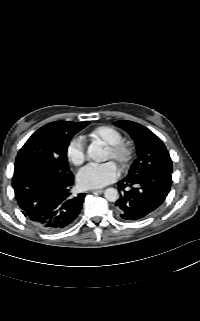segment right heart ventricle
<instances>
[{
	"label": "right heart ventricle",
	"mask_w": 200,
	"mask_h": 321,
	"mask_svg": "<svg viewBox=\"0 0 200 321\" xmlns=\"http://www.w3.org/2000/svg\"><path fill=\"white\" fill-rule=\"evenodd\" d=\"M90 137L92 139L102 140L107 145H110L117 141L122 140L121 132L112 126H107V125L95 128L90 133Z\"/></svg>",
	"instance_id": "right-heart-ventricle-1"
}]
</instances>
